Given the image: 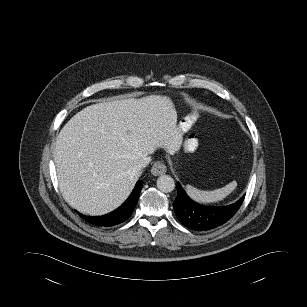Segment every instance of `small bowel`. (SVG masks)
I'll use <instances>...</instances> for the list:
<instances>
[{"label":"small bowel","mask_w":307,"mask_h":307,"mask_svg":"<svg viewBox=\"0 0 307 307\" xmlns=\"http://www.w3.org/2000/svg\"><path fill=\"white\" fill-rule=\"evenodd\" d=\"M195 119V117L194 116H192L191 118H190V120H194Z\"/></svg>","instance_id":"small-bowel-1"}]
</instances>
